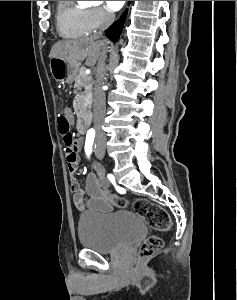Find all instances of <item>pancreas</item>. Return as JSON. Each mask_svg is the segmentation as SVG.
I'll return each instance as SVG.
<instances>
[{"label":"pancreas","instance_id":"obj_1","mask_svg":"<svg viewBox=\"0 0 237 300\" xmlns=\"http://www.w3.org/2000/svg\"><path fill=\"white\" fill-rule=\"evenodd\" d=\"M85 71V67H81L74 79L77 89H81V87L85 89L83 93H78L73 101L74 111L80 119H87L88 115H90L89 101H91L92 87L94 85L92 75H86ZM87 87H90V89H87Z\"/></svg>","mask_w":237,"mask_h":300}]
</instances>
